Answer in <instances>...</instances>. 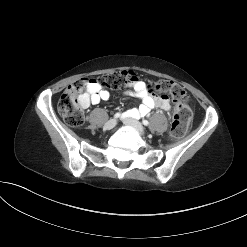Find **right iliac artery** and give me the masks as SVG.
Wrapping results in <instances>:
<instances>
[{
	"label": "right iliac artery",
	"instance_id": "1",
	"mask_svg": "<svg viewBox=\"0 0 247 247\" xmlns=\"http://www.w3.org/2000/svg\"><path fill=\"white\" fill-rule=\"evenodd\" d=\"M122 115L128 116L127 112H126V114H122ZM120 116H121L120 113H116V114L114 115L115 118H118V117H120Z\"/></svg>",
	"mask_w": 247,
	"mask_h": 247
}]
</instances>
